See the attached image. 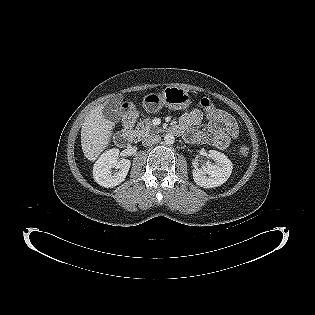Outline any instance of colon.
I'll use <instances>...</instances> for the list:
<instances>
[{
    "instance_id": "5ec220e1",
    "label": "colon",
    "mask_w": 315,
    "mask_h": 315,
    "mask_svg": "<svg viewBox=\"0 0 315 315\" xmlns=\"http://www.w3.org/2000/svg\"><path fill=\"white\" fill-rule=\"evenodd\" d=\"M199 105L202 109H204V111H213L216 108L215 105L211 102V100L206 97L201 98L199 100ZM239 153L242 156H246L249 153L248 147L245 145H241L239 147Z\"/></svg>"
}]
</instances>
